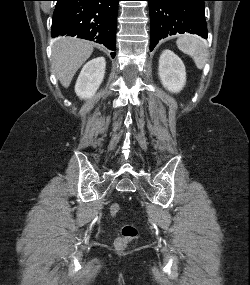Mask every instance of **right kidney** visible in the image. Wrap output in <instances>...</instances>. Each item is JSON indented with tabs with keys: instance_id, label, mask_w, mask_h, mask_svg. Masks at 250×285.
Segmentation results:
<instances>
[{
	"instance_id": "obj_1",
	"label": "right kidney",
	"mask_w": 250,
	"mask_h": 285,
	"mask_svg": "<svg viewBox=\"0 0 250 285\" xmlns=\"http://www.w3.org/2000/svg\"><path fill=\"white\" fill-rule=\"evenodd\" d=\"M105 67L104 57L94 58L83 66L75 84L77 96L87 99L96 93L104 79Z\"/></svg>"
}]
</instances>
